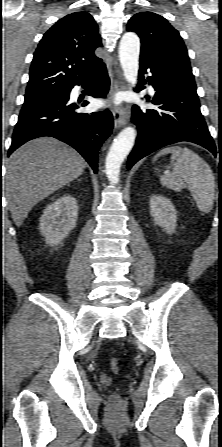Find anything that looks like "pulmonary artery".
<instances>
[{
	"mask_svg": "<svg viewBox=\"0 0 222 447\" xmlns=\"http://www.w3.org/2000/svg\"><path fill=\"white\" fill-rule=\"evenodd\" d=\"M150 91L153 92V88L152 87H150Z\"/></svg>",
	"mask_w": 222,
	"mask_h": 447,
	"instance_id": "pulmonary-artery-1",
	"label": "pulmonary artery"
}]
</instances>
